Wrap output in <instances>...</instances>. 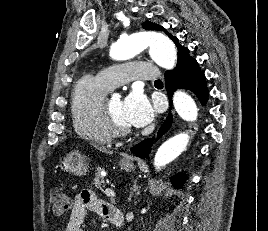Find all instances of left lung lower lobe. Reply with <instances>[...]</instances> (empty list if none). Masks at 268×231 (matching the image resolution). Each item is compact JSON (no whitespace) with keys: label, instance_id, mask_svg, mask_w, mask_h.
I'll list each match as a JSON object with an SVG mask.
<instances>
[{"label":"left lung lower lobe","instance_id":"1","mask_svg":"<svg viewBox=\"0 0 268 231\" xmlns=\"http://www.w3.org/2000/svg\"><path fill=\"white\" fill-rule=\"evenodd\" d=\"M165 81L170 104L172 103V94L177 88L191 90L198 97L202 104L206 103L209 93L206 85V78L194 58H188L178 69L167 71L165 73ZM171 123L172 116L169 115L166 122L158 131V138L162 137L168 131ZM152 140L153 139H148L137 144L131 149V151L138 157L149 158L148 155L151 150ZM176 178L178 179L176 182H173V184L175 187L181 188L186 178L184 175L178 174L177 176L173 177L172 180Z\"/></svg>","mask_w":268,"mask_h":231}]
</instances>
